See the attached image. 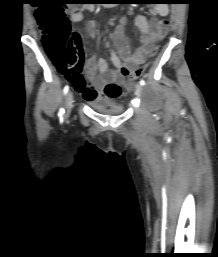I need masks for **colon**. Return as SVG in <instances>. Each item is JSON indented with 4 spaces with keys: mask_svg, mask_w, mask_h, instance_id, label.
<instances>
[{
    "mask_svg": "<svg viewBox=\"0 0 218 257\" xmlns=\"http://www.w3.org/2000/svg\"><path fill=\"white\" fill-rule=\"evenodd\" d=\"M71 5H41L36 10V18L42 33L44 49L56 68L67 78L78 79L83 65L81 36L71 32L69 20L63 10H71ZM156 48L153 49V54ZM145 66H139L128 74L127 88L144 72ZM103 98H122L125 89L115 82L102 83Z\"/></svg>",
    "mask_w": 218,
    "mask_h": 257,
    "instance_id": "5ec220e1",
    "label": "colon"
}]
</instances>
